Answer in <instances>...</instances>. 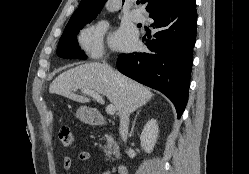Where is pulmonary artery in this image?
Listing matches in <instances>:
<instances>
[{
  "label": "pulmonary artery",
  "instance_id": "1",
  "mask_svg": "<svg viewBox=\"0 0 249 174\" xmlns=\"http://www.w3.org/2000/svg\"><path fill=\"white\" fill-rule=\"evenodd\" d=\"M130 18L134 21V22H143L144 21V16L142 13H140L138 10H131L130 13Z\"/></svg>",
  "mask_w": 249,
  "mask_h": 174
}]
</instances>
